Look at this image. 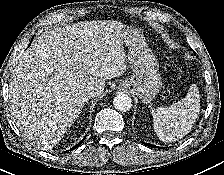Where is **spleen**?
<instances>
[{"mask_svg": "<svg viewBox=\"0 0 224 175\" xmlns=\"http://www.w3.org/2000/svg\"><path fill=\"white\" fill-rule=\"evenodd\" d=\"M199 111V90L196 84H192L182 100L169 107H158L152 110L157 136L165 143L182 139L196 122Z\"/></svg>", "mask_w": 224, "mask_h": 175, "instance_id": "spleen-1", "label": "spleen"}]
</instances>
